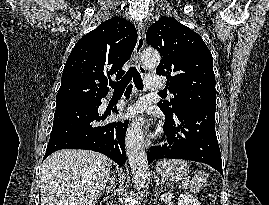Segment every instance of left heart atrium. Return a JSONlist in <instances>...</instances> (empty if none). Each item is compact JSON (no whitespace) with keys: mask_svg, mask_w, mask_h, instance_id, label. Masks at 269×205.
<instances>
[{"mask_svg":"<svg viewBox=\"0 0 269 205\" xmlns=\"http://www.w3.org/2000/svg\"><path fill=\"white\" fill-rule=\"evenodd\" d=\"M142 110V107L137 105V106H134L128 113L126 116L128 117H132L134 115H136L137 113H139L140 111Z\"/></svg>","mask_w":269,"mask_h":205,"instance_id":"1","label":"left heart atrium"}]
</instances>
